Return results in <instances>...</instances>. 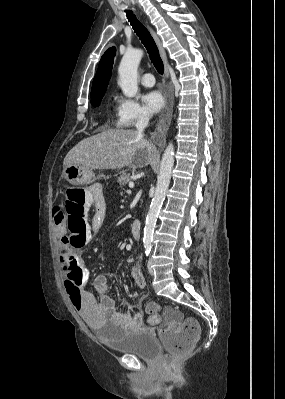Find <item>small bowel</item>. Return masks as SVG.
I'll list each match as a JSON object with an SVG mask.
<instances>
[{
	"label": "small bowel",
	"instance_id": "small-bowel-1",
	"mask_svg": "<svg viewBox=\"0 0 285 399\" xmlns=\"http://www.w3.org/2000/svg\"><path fill=\"white\" fill-rule=\"evenodd\" d=\"M85 208L93 210L91 217V228L94 232L101 229L106 217V203L100 185H92L84 191ZM53 215L58 219L56 222L58 234L61 243L67 241L66 227L63 220V211L60 208L53 209ZM74 281L80 282L83 288L82 301L80 305L74 307L77 309L81 318L88 324H102L108 322L117 327L121 332H127L132 329H146L143 313L139 310L137 303L124 302L127 312H119L115 301L108 291V283L106 274L99 275L95 278L94 287L98 294L96 297L93 293L85 288V281L89 277V271L82 264L71 270ZM131 278L139 288L146 287V281L140 267L135 266L130 272Z\"/></svg>",
	"mask_w": 285,
	"mask_h": 399
}]
</instances>
